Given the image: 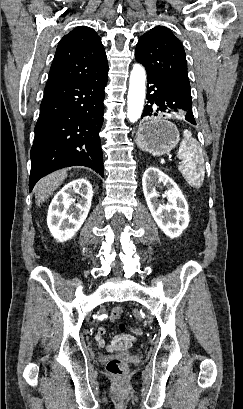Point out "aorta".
Masks as SVG:
<instances>
[{
	"instance_id": "762f6f07",
	"label": "aorta",
	"mask_w": 243,
	"mask_h": 409,
	"mask_svg": "<svg viewBox=\"0 0 243 409\" xmlns=\"http://www.w3.org/2000/svg\"><path fill=\"white\" fill-rule=\"evenodd\" d=\"M146 72L140 65H134L129 78L127 118L131 123H135L142 114L145 100Z\"/></svg>"
}]
</instances>
